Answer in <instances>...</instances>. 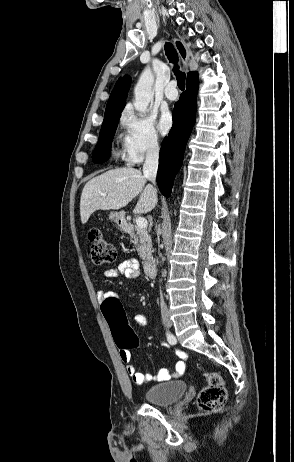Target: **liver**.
I'll return each mask as SVG.
<instances>
[{
	"instance_id": "obj_1",
	"label": "liver",
	"mask_w": 294,
	"mask_h": 462,
	"mask_svg": "<svg viewBox=\"0 0 294 462\" xmlns=\"http://www.w3.org/2000/svg\"><path fill=\"white\" fill-rule=\"evenodd\" d=\"M141 171L134 168L109 170L86 183L80 199V216L85 224L96 210H118L125 207L137 195L139 200L133 210L136 214L150 212L157 203L152 185Z\"/></svg>"
}]
</instances>
